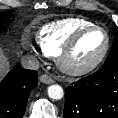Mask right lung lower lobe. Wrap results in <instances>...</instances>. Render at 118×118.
<instances>
[{
  "label": "right lung lower lobe",
  "mask_w": 118,
  "mask_h": 118,
  "mask_svg": "<svg viewBox=\"0 0 118 118\" xmlns=\"http://www.w3.org/2000/svg\"><path fill=\"white\" fill-rule=\"evenodd\" d=\"M37 82L38 73L34 70L10 71L0 84V118H22L28 96Z\"/></svg>",
  "instance_id": "obj_1"
}]
</instances>
